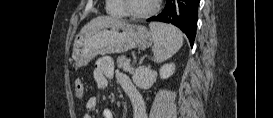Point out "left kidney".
<instances>
[{"mask_svg":"<svg viewBox=\"0 0 273 118\" xmlns=\"http://www.w3.org/2000/svg\"><path fill=\"white\" fill-rule=\"evenodd\" d=\"M175 72V64L170 63V64H164L161 68H160V77L162 79H167L170 76H172Z\"/></svg>","mask_w":273,"mask_h":118,"instance_id":"5707ae66","label":"left kidney"}]
</instances>
